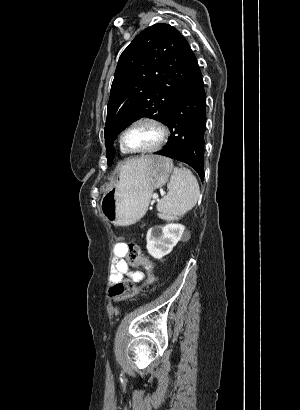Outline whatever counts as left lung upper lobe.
I'll return each instance as SVG.
<instances>
[{
    "label": "left lung upper lobe",
    "instance_id": "1",
    "mask_svg": "<svg viewBox=\"0 0 300 410\" xmlns=\"http://www.w3.org/2000/svg\"><path fill=\"white\" fill-rule=\"evenodd\" d=\"M196 61L186 39L168 24L143 30L121 54L111 86L105 126L108 165L113 139L141 117L164 122Z\"/></svg>",
    "mask_w": 300,
    "mask_h": 410
}]
</instances>
